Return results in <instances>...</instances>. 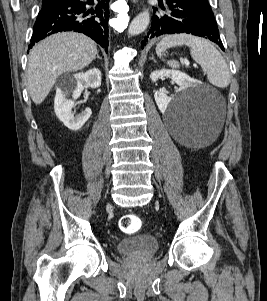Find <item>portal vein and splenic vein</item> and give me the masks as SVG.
Here are the masks:
<instances>
[{
    "label": "portal vein and splenic vein",
    "mask_w": 267,
    "mask_h": 301,
    "mask_svg": "<svg viewBox=\"0 0 267 301\" xmlns=\"http://www.w3.org/2000/svg\"><path fill=\"white\" fill-rule=\"evenodd\" d=\"M182 61L186 64V65H188L189 64V62H188V60L187 59H182ZM195 67H196V65H194Z\"/></svg>",
    "instance_id": "obj_1"
}]
</instances>
